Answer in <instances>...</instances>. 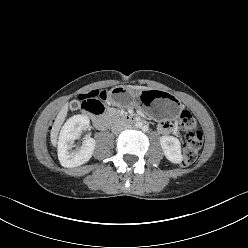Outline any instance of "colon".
<instances>
[{"instance_id":"colon-1","label":"colon","mask_w":248,"mask_h":248,"mask_svg":"<svg viewBox=\"0 0 248 248\" xmlns=\"http://www.w3.org/2000/svg\"><path fill=\"white\" fill-rule=\"evenodd\" d=\"M106 95L105 91L90 92L81 96V101L84 106L91 107L99 112H103L104 106L101 101ZM179 125L185 132V141L182 151V164L189 165L193 163L202 146V134L199 130L197 122L192 114L184 110L179 117Z\"/></svg>"}]
</instances>
